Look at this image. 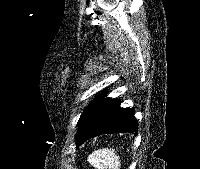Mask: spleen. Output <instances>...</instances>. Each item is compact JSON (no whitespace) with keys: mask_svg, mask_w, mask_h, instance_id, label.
Here are the masks:
<instances>
[{"mask_svg":"<svg viewBox=\"0 0 200 169\" xmlns=\"http://www.w3.org/2000/svg\"><path fill=\"white\" fill-rule=\"evenodd\" d=\"M88 162L96 169H119L120 157L114 149H99L88 156Z\"/></svg>","mask_w":200,"mask_h":169,"instance_id":"1","label":"spleen"}]
</instances>
